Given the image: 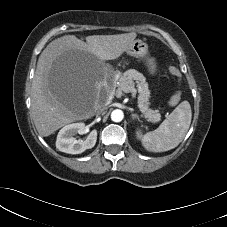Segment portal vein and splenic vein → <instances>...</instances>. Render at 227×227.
I'll use <instances>...</instances> for the list:
<instances>
[{
	"label": "portal vein and splenic vein",
	"mask_w": 227,
	"mask_h": 227,
	"mask_svg": "<svg viewBox=\"0 0 227 227\" xmlns=\"http://www.w3.org/2000/svg\"><path fill=\"white\" fill-rule=\"evenodd\" d=\"M139 88H140V86H139ZM123 92L124 93H131L132 98L136 97V89L134 87H130V86L125 87L123 89Z\"/></svg>",
	"instance_id": "18ae733b"
}]
</instances>
